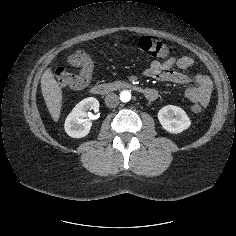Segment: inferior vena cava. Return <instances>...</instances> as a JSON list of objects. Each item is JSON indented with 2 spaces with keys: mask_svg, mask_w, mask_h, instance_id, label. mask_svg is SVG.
<instances>
[{
  "mask_svg": "<svg viewBox=\"0 0 236 236\" xmlns=\"http://www.w3.org/2000/svg\"><path fill=\"white\" fill-rule=\"evenodd\" d=\"M105 104L109 108H115L119 104V97L114 93H110L105 97Z\"/></svg>",
  "mask_w": 236,
  "mask_h": 236,
  "instance_id": "obj_1",
  "label": "inferior vena cava"
}]
</instances>
